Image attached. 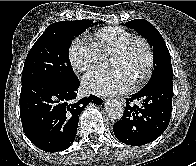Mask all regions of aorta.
I'll use <instances>...</instances> for the list:
<instances>
[{
	"label": "aorta",
	"instance_id": "obj_1",
	"mask_svg": "<svg viewBox=\"0 0 196 166\" xmlns=\"http://www.w3.org/2000/svg\"><path fill=\"white\" fill-rule=\"evenodd\" d=\"M105 110L107 114L114 120H119L123 116L124 107L121 102L111 99L105 103Z\"/></svg>",
	"mask_w": 196,
	"mask_h": 166
}]
</instances>
